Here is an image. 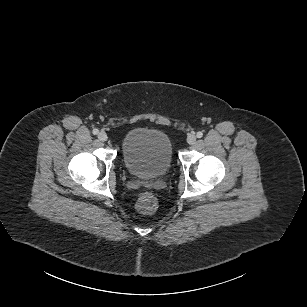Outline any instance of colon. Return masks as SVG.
Instances as JSON below:
<instances>
[{
  "label": "colon",
  "instance_id": "1",
  "mask_svg": "<svg viewBox=\"0 0 307 307\" xmlns=\"http://www.w3.org/2000/svg\"><path fill=\"white\" fill-rule=\"evenodd\" d=\"M158 207V199L151 192H142L138 195L135 208L140 213H152Z\"/></svg>",
  "mask_w": 307,
  "mask_h": 307
}]
</instances>
